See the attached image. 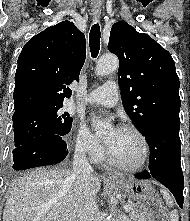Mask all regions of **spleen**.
<instances>
[{
    "mask_svg": "<svg viewBox=\"0 0 190 221\" xmlns=\"http://www.w3.org/2000/svg\"><path fill=\"white\" fill-rule=\"evenodd\" d=\"M160 192L163 195V198L165 199L167 206L172 207L174 205V201L170 193L164 188H162ZM170 218H171V221H179V215H178L177 210L171 211Z\"/></svg>",
    "mask_w": 190,
    "mask_h": 221,
    "instance_id": "obj_1",
    "label": "spleen"
}]
</instances>
